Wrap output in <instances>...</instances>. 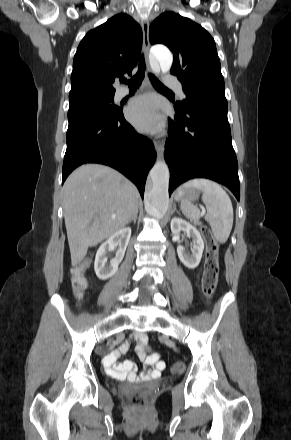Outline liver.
I'll use <instances>...</instances> for the list:
<instances>
[{
    "label": "liver",
    "instance_id": "obj_1",
    "mask_svg": "<svg viewBox=\"0 0 291 440\" xmlns=\"http://www.w3.org/2000/svg\"><path fill=\"white\" fill-rule=\"evenodd\" d=\"M139 192L118 171L99 164L74 170L63 186V209L72 266L123 229L138 213Z\"/></svg>",
    "mask_w": 291,
    "mask_h": 440
}]
</instances>
